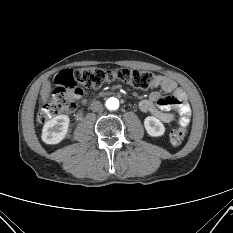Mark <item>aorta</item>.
<instances>
[{
    "instance_id": "obj_1",
    "label": "aorta",
    "mask_w": 233,
    "mask_h": 233,
    "mask_svg": "<svg viewBox=\"0 0 233 233\" xmlns=\"http://www.w3.org/2000/svg\"><path fill=\"white\" fill-rule=\"evenodd\" d=\"M106 107L109 110H116L119 107V100L114 97H110L106 101Z\"/></svg>"
}]
</instances>
